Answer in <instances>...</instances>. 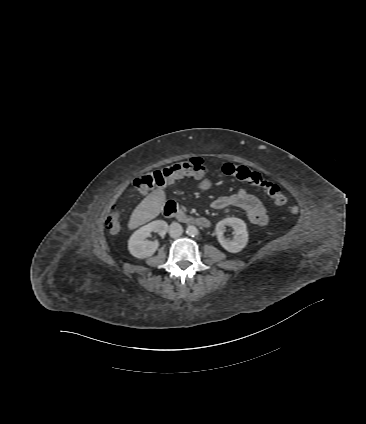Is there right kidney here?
Instances as JSON below:
<instances>
[{
    "label": "right kidney",
    "instance_id": "obj_1",
    "mask_svg": "<svg viewBox=\"0 0 366 424\" xmlns=\"http://www.w3.org/2000/svg\"><path fill=\"white\" fill-rule=\"evenodd\" d=\"M168 224L163 220H155L135 231L128 241V250L136 258L144 259L152 256L158 246V241H149L146 238L151 232H157L164 237L168 231Z\"/></svg>",
    "mask_w": 366,
    "mask_h": 424
}]
</instances>
